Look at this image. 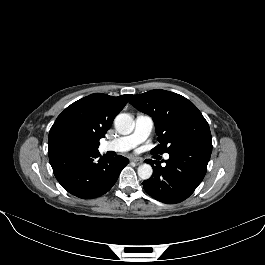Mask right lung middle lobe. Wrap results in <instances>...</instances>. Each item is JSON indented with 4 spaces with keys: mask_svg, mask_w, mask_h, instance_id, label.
Returning a JSON list of instances; mask_svg holds the SVG:
<instances>
[{
    "mask_svg": "<svg viewBox=\"0 0 265 265\" xmlns=\"http://www.w3.org/2000/svg\"><path fill=\"white\" fill-rule=\"evenodd\" d=\"M83 150H86L83 146L78 145L76 147V151H83Z\"/></svg>",
    "mask_w": 265,
    "mask_h": 265,
    "instance_id": "right-lung-middle-lobe-1",
    "label": "right lung middle lobe"
}]
</instances>
